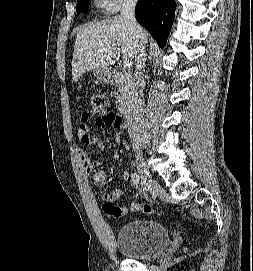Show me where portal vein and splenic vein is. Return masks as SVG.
I'll use <instances>...</instances> for the list:
<instances>
[{"mask_svg": "<svg viewBox=\"0 0 253 271\" xmlns=\"http://www.w3.org/2000/svg\"><path fill=\"white\" fill-rule=\"evenodd\" d=\"M132 65H133V63H132L131 60H124V61H123V66H124L125 68H130V67H132Z\"/></svg>", "mask_w": 253, "mask_h": 271, "instance_id": "obj_1", "label": "portal vein and splenic vein"}]
</instances>
